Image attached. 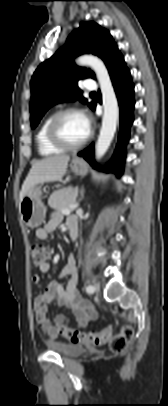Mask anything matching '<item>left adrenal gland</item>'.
Segmentation results:
<instances>
[{"mask_svg": "<svg viewBox=\"0 0 168 406\" xmlns=\"http://www.w3.org/2000/svg\"><path fill=\"white\" fill-rule=\"evenodd\" d=\"M83 197H84V190L82 188V190H81V198H83Z\"/></svg>", "mask_w": 168, "mask_h": 406, "instance_id": "1", "label": "left adrenal gland"}]
</instances>
